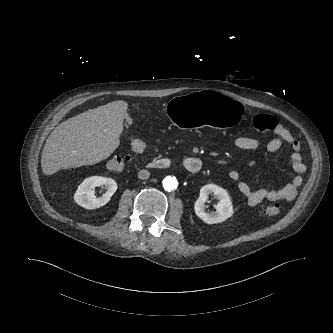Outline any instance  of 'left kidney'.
I'll return each mask as SVG.
<instances>
[{"label": "left kidney", "mask_w": 333, "mask_h": 333, "mask_svg": "<svg viewBox=\"0 0 333 333\" xmlns=\"http://www.w3.org/2000/svg\"><path fill=\"white\" fill-rule=\"evenodd\" d=\"M214 193L218 199L216 212H205L208 195ZM196 215L207 224L221 223L233 215V206L227 191L215 184H207L200 190L199 198L194 205Z\"/></svg>", "instance_id": "left-kidney-1"}]
</instances>
